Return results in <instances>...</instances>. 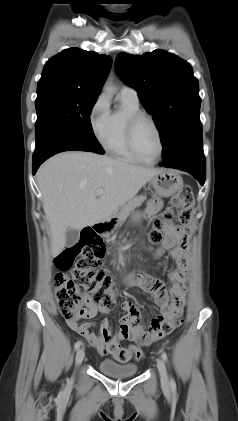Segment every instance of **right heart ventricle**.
Here are the masks:
<instances>
[{"label":"right heart ventricle","mask_w":238,"mask_h":421,"mask_svg":"<svg viewBox=\"0 0 238 421\" xmlns=\"http://www.w3.org/2000/svg\"><path fill=\"white\" fill-rule=\"evenodd\" d=\"M121 108L109 112L108 123L101 139L103 147L112 155L129 163L138 160L131 153L126 139V122L130 114L140 111L139 102L120 95Z\"/></svg>","instance_id":"right-heart-ventricle-1"}]
</instances>
